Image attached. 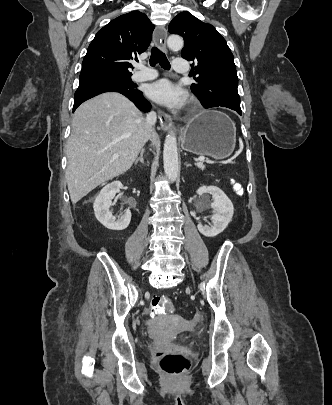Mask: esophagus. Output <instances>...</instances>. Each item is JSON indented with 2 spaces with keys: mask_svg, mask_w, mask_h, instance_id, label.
Segmentation results:
<instances>
[{
  "mask_svg": "<svg viewBox=\"0 0 332 405\" xmlns=\"http://www.w3.org/2000/svg\"><path fill=\"white\" fill-rule=\"evenodd\" d=\"M153 39L156 45H158L164 52H167V30L165 27H157L154 31ZM159 122L161 128L165 131L169 130L173 126L171 116L163 111H159Z\"/></svg>",
  "mask_w": 332,
  "mask_h": 405,
  "instance_id": "34e87169",
  "label": "esophagus"
}]
</instances>
